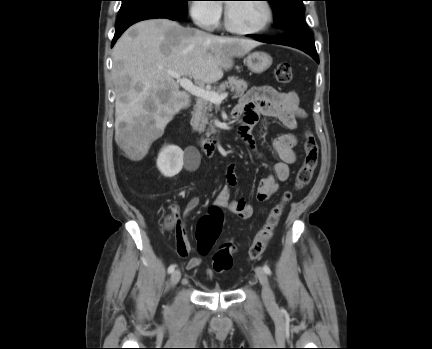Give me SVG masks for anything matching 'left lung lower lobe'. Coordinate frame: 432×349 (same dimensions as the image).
<instances>
[{"mask_svg":"<svg viewBox=\"0 0 432 349\" xmlns=\"http://www.w3.org/2000/svg\"><path fill=\"white\" fill-rule=\"evenodd\" d=\"M250 37L255 38L258 41L265 43H272L273 41L265 36L251 35ZM276 44L286 45L300 49L310 56H312L318 63L319 58L316 52L315 44L313 38L310 34L296 33V32H285V36L280 40L275 41Z\"/></svg>","mask_w":432,"mask_h":349,"instance_id":"obj_1","label":"left lung lower lobe"}]
</instances>
